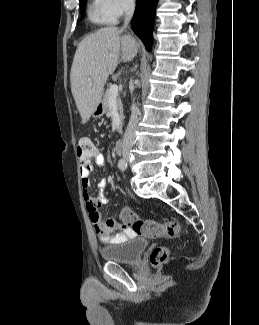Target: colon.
<instances>
[{
    "label": "colon",
    "instance_id": "obj_1",
    "mask_svg": "<svg viewBox=\"0 0 259 325\" xmlns=\"http://www.w3.org/2000/svg\"><path fill=\"white\" fill-rule=\"evenodd\" d=\"M95 152L92 140L87 136H82L77 142V155L80 160L90 159ZM123 224L133 230L136 234L148 238H176L179 236L181 227L176 221L160 223L154 220H144L128 207H124L120 213ZM169 249L165 246H157L150 255V262L153 266L164 264L169 257Z\"/></svg>",
    "mask_w": 259,
    "mask_h": 325
}]
</instances>
